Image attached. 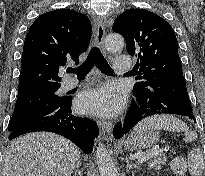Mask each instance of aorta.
I'll list each match as a JSON object with an SVG mask.
<instances>
[{"mask_svg": "<svg viewBox=\"0 0 205 176\" xmlns=\"http://www.w3.org/2000/svg\"><path fill=\"white\" fill-rule=\"evenodd\" d=\"M105 46L111 52L120 51L124 47V39L119 34L110 33L105 38ZM96 159L100 176H117L111 156L101 142L97 146Z\"/></svg>", "mask_w": 205, "mask_h": 176, "instance_id": "aorta-1", "label": "aorta"}]
</instances>
